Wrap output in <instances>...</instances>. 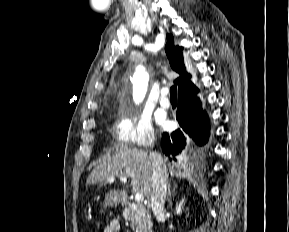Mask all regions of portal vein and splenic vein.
Here are the masks:
<instances>
[{"mask_svg": "<svg viewBox=\"0 0 289 232\" xmlns=\"http://www.w3.org/2000/svg\"><path fill=\"white\" fill-rule=\"evenodd\" d=\"M119 179H120V181H122V182H124V183H127V177H119ZM114 180H115V177H109V178L107 179V181H108L109 183L114 182ZM135 200H136L137 202H142V201L144 200L143 194L140 193V192H137V193L135 194Z\"/></svg>", "mask_w": 289, "mask_h": 232, "instance_id": "portal-vein-and-splenic-vein-1", "label": "portal vein and splenic vein"}]
</instances>
